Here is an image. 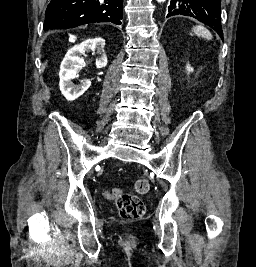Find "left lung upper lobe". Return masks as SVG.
I'll list each match as a JSON object with an SVG mask.
<instances>
[{"mask_svg": "<svg viewBox=\"0 0 256 267\" xmlns=\"http://www.w3.org/2000/svg\"><path fill=\"white\" fill-rule=\"evenodd\" d=\"M169 14L191 16L213 28L223 39L220 17V0H171Z\"/></svg>", "mask_w": 256, "mask_h": 267, "instance_id": "obj_1", "label": "left lung upper lobe"}]
</instances>
